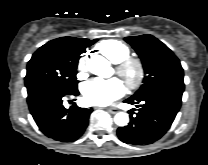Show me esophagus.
I'll list each match as a JSON object with an SVG mask.
<instances>
[{
    "mask_svg": "<svg viewBox=\"0 0 208 165\" xmlns=\"http://www.w3.org/2000/svg\"><path fill=\"white\" fill-rule=\"evenodd\" d=\"M104 109L107 110L108 112L112 113V114H115V113L118 112V109H116V108L106 107Z\"/></svg>",
    "mask_w": 208,
    "mask_h": 165,
    "instance_id": "esophagus-1",
    "label": "esophagus"
}]
</instances>
